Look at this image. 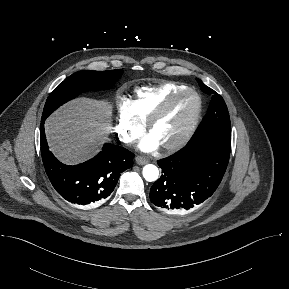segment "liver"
<instances>
[{
	"label": "liver",
	"mask_w": 289,
	"mask_h": 289,
	"mask_svg": "<svg viewBox=\"0 0 289 289\" xmlns=\"http://www.w3.org/2000/svg\"><path fill=\"white\" fill-rule=\"evenodd\" d=\"M111 113L104 100L82 97L65 104L46 120L51 151L66 164L92 157L108 139Z\"/></svg>",
	"instance_id": "1"
}]
</instances>
